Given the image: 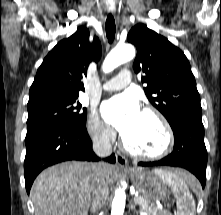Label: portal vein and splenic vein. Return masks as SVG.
Segmentation results:
<instances>
[{
    "label": "portal vein and splenic vein",
    "instance_id": "obj_1",
    "mask_svg": "<svg viewBox=\"0 0 221 215\" xmlns=\"http://www.w3.org/2000/svg\"><path fill=\"white\" fill-rule=\"evenodd\" d=\"M134 203H136V204L141 203V199H139L138 197H135L134 198ZM145 215H147V214H145Z\"/></svg>",
    "mask_w": 221,
    "mask_h": 215
}]
</instances>
